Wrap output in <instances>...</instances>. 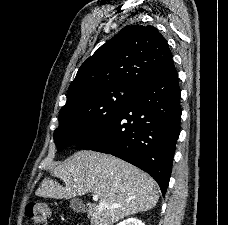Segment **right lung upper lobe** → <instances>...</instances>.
Masks as SVG:
<instances>
[{
    "instance_id": "cb5924a9",
    "label": "right lung upper lobe",
    "mask_w": 228,
    "mask_h": 225,
    "mask_svg": "<svg viewBox=\"0 0 228 225\" xmlns=\"http://www.w3.org/2000/svg\"><path fill=\"white\" fill-rule=\"evenodd\" d=\"M171 60L168 43L155 27L126 26L81 65L66 104L112 84L137 88Z\"/></svg>"
}]
</instances>
